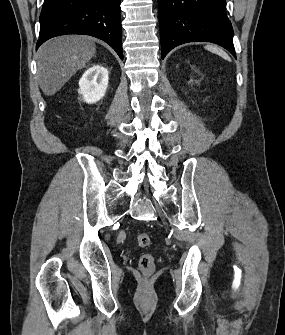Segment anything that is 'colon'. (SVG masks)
<instances>
[{"label": "colon", "mask_w": 285, "mask_h": 335, "mask_svg": "<svg viewBox=\"0 0 285 335\" xmlns=\"http://www.w3.org/2000/svg\"><path fill=\"white\" fill-rule=\"evenodd\" d=\"M136 239L141 247H147L151 242L150 236L146 233H139ZM139 267L144 274L152 273L155 269V257L149 253L142 255L139 260Z\"/></svg>", "instance_id": "obj_1"}]
</instances>
